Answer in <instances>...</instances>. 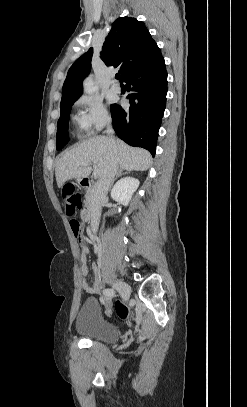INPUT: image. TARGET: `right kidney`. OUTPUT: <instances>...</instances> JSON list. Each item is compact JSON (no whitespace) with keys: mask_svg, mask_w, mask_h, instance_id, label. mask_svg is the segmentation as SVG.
<instances>
[{"mask_svg":"<svg viewBox=\"0 0 247 407\" xmlns=\"http://www.w3.org/2000/svg\"><path fill=\"white\" fill-rule=\"evenodd\" d=\"M139 184V180L132 177L121 179L111 191L112 199L119 204L127 206Z\"/></svg>","mask_w":247,"mask_h":407,"instance_id":"obj_1","label":"right kidney"}]
</instances>
